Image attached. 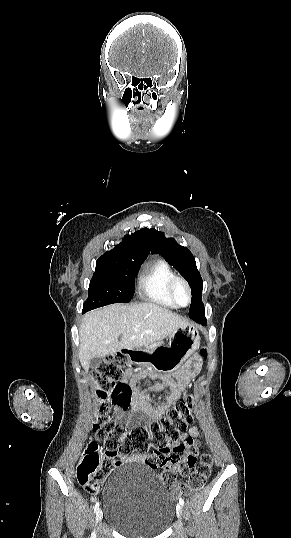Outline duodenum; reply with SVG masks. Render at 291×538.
<instances>
[{"instance_id": "obj_1", "label": "duodenum", "mask_w": 291, "mask_h": 538, "mask_svg": "<svg viewBox=\"0 0 291 538\" xmlns=\"http://www.w3.org/2000/svg\"><path fill=\"white\" fill-rule=\"evenodd\" d=\"M128 355L131 357V358H139L142 356V353L138 350H129L128 351Z\"/></svg>"}]
</instances>
